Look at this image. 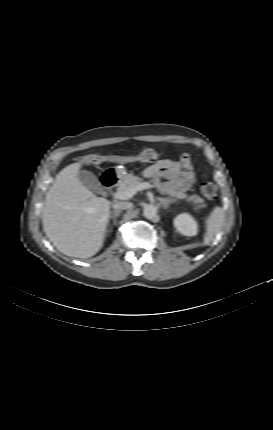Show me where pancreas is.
<instances>
[{
	"label": "pancreas",
	"instance_id": "cf45deb5",
	"mask_svg": "<svg viewBox=\"0 0 273 430\" xmlns=\"http://www.w3.org/2000/svg\"><path fill=\"white\" fill-rule=\"evenodd\" d=\"M142 178L134 176L133 174H126L123 178V181L119 184L118 191H125L131 187H135L139 183H141ZM170 196L173 197L172 201H176V199H185L187 202L192 203L197 209L206 207L204 203V199L196 194L187 195L183 192L171 191Z\"/></svg>",
	"mask_w": 273,
	"mask_h": 430
}]
</instances>
